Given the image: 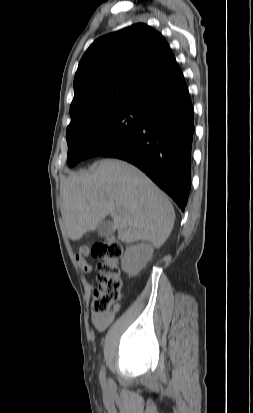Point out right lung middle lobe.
<instances>
[{
	"label": "right lung middle lobe",
	"instance_id": "obj_1",
	"mask_svg": "<svg viewBox=\"0 0 253 413\" xmlns=\"http://www.w3.org/2000/svg\"><path fill=\"white\" fill-rule=\"evenodd\" d=\"M145 110L134 107H109L71 120L67 128L68 165L101 155L138 130Z\"/></svg>",
	"mask_w": 253,
	"mask_h": 413
}]
</instances>
